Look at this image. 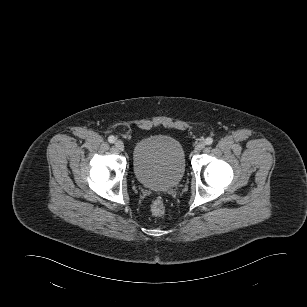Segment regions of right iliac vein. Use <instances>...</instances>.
I'll return each instance as SVG.
<instances>
[{
	"instance_id": "obj_1",
	"label": "right iliac vein",
	"mask_w": 307,
	"mask_h": 307,
	"mask_svg": "<svg viewBox=\"0 0 307 307\" xmlns=\"http://www.w3.org/2000/svg\"><path fill=\"white\" fill-rule=\"evenodd\" d=\"M115 147L120 150L123 151L124 150V143L121 140H117L115 142Z\"/></svg>"
}]
</instances>
